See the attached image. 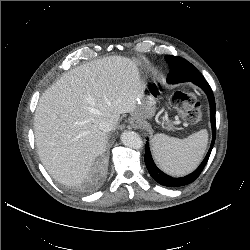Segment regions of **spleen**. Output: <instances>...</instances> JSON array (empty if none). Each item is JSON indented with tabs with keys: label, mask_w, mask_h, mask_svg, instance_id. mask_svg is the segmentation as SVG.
Wrapping results in <instances>:
<instances>
[{
	"label": "spleen",
	"mask_w": 250,
	"mask_h": 250,
	"mask_svg": "<svg viewBox=\"0 0 250 250\" xmlns=\"http://www.w3.org/2000/svg\"><path fill=\"white\" fill-rule=\"evenodd\" d=\"M208 142L205 129L185 139L156 134L152 138V152L158 166L166 173L181 176L194 170L200 163Z\"/></svg>",
	"instance_id": "3e777b00"
}]
</instances>
